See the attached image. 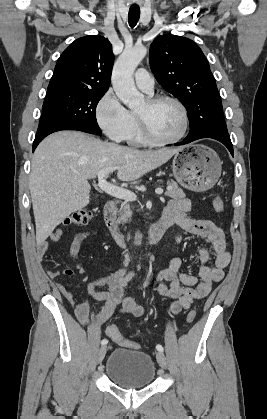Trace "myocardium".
I'll return each instance as SVG.
<instances>
[{
    "mask_svg": "<svg viewBox=\"0 0 267 419\" xmlns=\"http://www.w3.org/2000/svg\"><path fill=\"white\" fill-rule=\"evenodd\" d=\"M163 101H169V102L174 103L180 109L181 114H182L183 126L180 133L174 138L162 139V138L157 137L151 131L146 118L143 115L136 113V119L139 125V129L141 131V134L143 135V137L146 139L147 142L155 144V145H169V144H174V143L179 142L186 135L188 127H189L188 111L185 105L178 98L171 95L162 94V95L150 96L146 99V102L150 107L155 106L156 104Z\"/></svg>",
    "mask_w": 267,
    "mask_h": 419,
    "instance_id": "f54148a6",
    "label": "myocardium"
}]
</instances>
